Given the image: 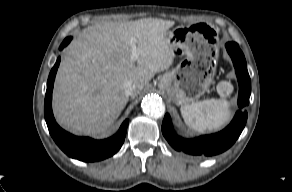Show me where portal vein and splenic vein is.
Returning a JSON list of instances; mask_svg holds the SVG:
<instances>
[{
  "mask_svg": "<svg viewBox=\"0 0 292 192\" xmlns=\"http://www.w3.org/2000/svg\"><path fill=\"white\" fill-rule=\"evenodd\" d=\"M139 56V50L136 47V44L134 41L131 42V59L133 61L137 60Z\"/></svg>",
  "mask_w": 292,
  "mask_h": 192,
  "instance_id": "obj_1",
  "label": "portal vein and splenic vein"
}]
</instances>
